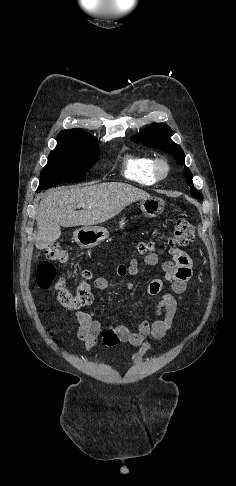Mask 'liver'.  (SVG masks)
Listing matches in <instances>:
<instances>
[{
    "mask_svg": "<svg viewBox=\"0 0 236 486\" xmlns=\"http://www.w3.org/2000/svg\"><path fill=\"white\" fill-rule=\"evenodd\" d=\"M148 198L151 196L147 192L124 183L51 189L38 207L36 246L44 240L43 231L51 223L93 226L111 219L131 203ZM79 206H84L83 210L76 211Z\"/></svg>",
    "mask_w": 236,
    "mask_h": 486,
    "instance_id": "liver-1",
    "label": "liver"
}]
</instances>
